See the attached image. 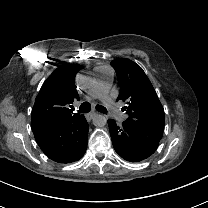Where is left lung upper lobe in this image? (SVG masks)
Segmentation results:
<instances>
[{
    "instance_id": "1",
    "label": "left lung upper lobe",
    "mask_w": 208,
    "mask_h": 208,
    "mask_svg": "<svg viewBox=\"0 0 208 208\" xmlns=\"http://www.w3.org/2000/svg\"><path fill=\"white\" fill-rule=\"evenodd\" d=\"M119 83L120 94L128 114L127 122L138 133L159 142L163 136L165 123L164 109L143 69L128 59H116L111 62Z\"/></svg>"
}]
</instances>
